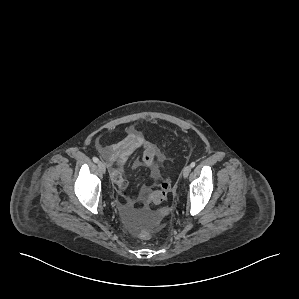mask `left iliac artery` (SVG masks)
Instances as JSON below:
<instances>
[{
    "mask_svg": "<svg viewBox=\"0 0 299 299\" xmlns=\"http://www.w3.org/2000/svg\"><path fill=\"white\" fill-rule=\"evenodd\" d=\"M196 163L195 162H191L190 166L193 168L195 167Z\"/></svg>",
    "mask_w": 299,
    "mask_h": 299,
    "instance_id": "obj_1",
    "label": "left iliac artery"
}]
</instances>
